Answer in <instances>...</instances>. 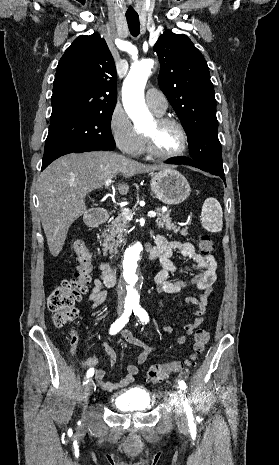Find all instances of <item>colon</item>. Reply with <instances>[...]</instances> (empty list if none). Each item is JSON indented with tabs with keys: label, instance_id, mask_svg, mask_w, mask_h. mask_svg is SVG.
Returning <instances> with one entry per match:
<instances>
[{
	"label": "colon",
	"instance_id": "1",
	"mask_svg": "<svg viewBox=\"0 0 279 465\" xmlns=\"http://www.w3.org/2000/svg\"><path fill=\"white\" fill-rule=\"evenodd\" d=\"M196 242L203 254H209L215 249V242L208 234H200ZM72 248L76 254V271L72 278L62 281L48 298V308L53 313V323L58 328L78 317V309L75 304L87 292L92 278V253L81 240H75ZM209 339L210 334L208 331L201 328L197 329L194 334L193 352L190 359L185 362L176 361L168 364L152 365L147 372L148 380L153 384H157L166 379L169 374L185 369L204 351ZM76 341V337H73L72 343L75 344Z\"/></svg>",
	"mask_w": 279,
	"mask_h": 465
}]
</instances>
